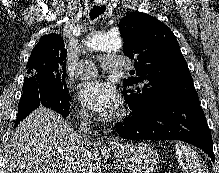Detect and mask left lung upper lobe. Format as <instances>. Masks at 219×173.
I'll return each instance as SVG.
<instances>
[{
  "label": "left lung upper lobe",
  "mask_w": 219,
  "mask_h": 173,
  "mask_svg": "<svg viewBox=\"0 0 219 173\" xmlns=\"http://www.w3.org/2000/svg\"><path fill=\"white\" fill-rule=\"evenodd\" d=\"M123 52L135 60L137 77L124 79V99L132 111H150L171 102L198 98L173 32L156 18L133 12L119 23Z\"/></svg>",
  "instance_id": "5c2ea615"
}]
</instances>
